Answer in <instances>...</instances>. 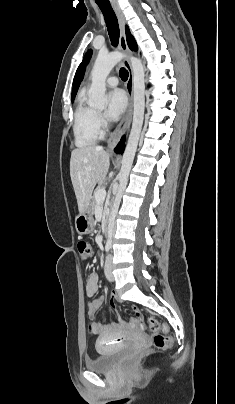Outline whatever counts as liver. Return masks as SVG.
Instances as JSON below:
<instances>
[{
	"mask_svg": "<svg viewBox=\"0 0 235 404\" xmlns=\"http://www.w3.org/2000/svg\"><path fill=\"white\" fill-rule=\"evenodd\" d=\"M109 158L101 146L76 148L71 152L70 177L80 213L88 209L95 185L106 178Z\"/></svg>",
	"mask_w": 235,
	"mask_h": 404,
	"instance_id": "liver-1",
	"label": "liver"
}]
</instances>
